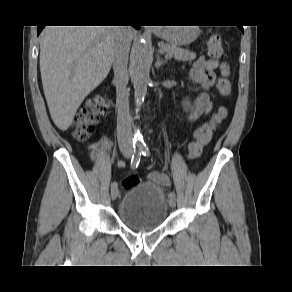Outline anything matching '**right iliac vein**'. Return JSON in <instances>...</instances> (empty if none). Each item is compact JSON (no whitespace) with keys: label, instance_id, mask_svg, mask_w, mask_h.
Instances as JSON below:
<instances>
[{"label":"right iliac vein","instance_id":"63e3f726","mask_svg":"<svg viewBox=\"0 0 292 292\" xmlns=\"http://www.w3.org/2000/svg\"><path fill=\"white\" fill-rule=\"evenodd\" d=\"M127 157H129V155H127ZM117 196H118V189L117 188L112 189L111 190V198H112V200H116Z\"/></svg>","mask_w":292,"mask_h":292}]
</instances>
